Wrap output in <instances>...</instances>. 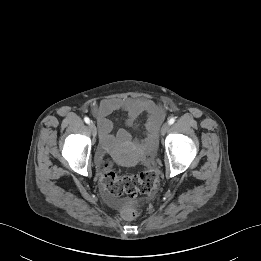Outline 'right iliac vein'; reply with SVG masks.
<instances>
[{"mask_svg":"<svg viewBox=\"0 0 261 261\" xmlns=\"http://www.w3.org/2000/svg\"><path fill=\"white\" fill-rule=\"evenodd\" d=\"M89 129H90L92 135H93V136H96V134H97V128H96V126H95V124H94L93 122H91V123L89 124Z\"/></svg>","mask_w":261,"mask_h":261,"instance_id":"63e3f726","label":"right iliac vein"}]
</instances>
